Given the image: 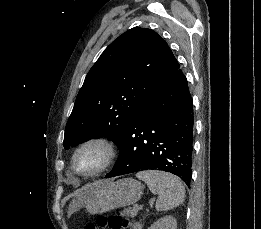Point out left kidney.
Returning a JSON list of instances; mask_svg holds the SVG:
<instances>
[{
  "instance_id": "obj_1",
  "label": "left kidney",
  "mask_w": 261,
  "mask_h": 229,
  "mask_svg": "<svg viewBox=\"0 0 261 229\" xmlns=\"http://www.w3.org/2000/svg\"><path fill=\"white\" fill-rule=\"evenodd\" d=\"M149 229H177V221L174 217H163V219H159L156 223H153Z\"/></svg>"
}]
</instances>
